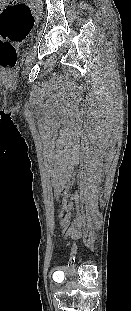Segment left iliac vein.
<instances>
[{"instance_id": "4c4485c4", "label": "left iliac vein", "mask_w": 131, "mask_h": 311, "mask_svg": "<svg viewBox=\"0 0 131 311\" xmlns=\"http://www.w3.org/2000/svg\"><path fill=\"white\" fill-rule=\"evenodd\" d=\"M36 5H37V7H39V5H40V3H41V0H36Z\"/></svg>"}]
</instances>
